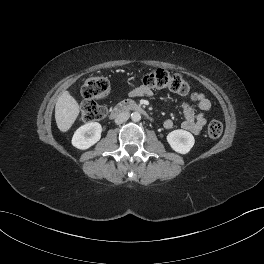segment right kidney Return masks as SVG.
<instances>
[{
    "label": "right kidney",
    "instance_id": "1",
    "mask_svg": "<svg viewBox=\"0 0 264 264\" xmlns=\"http://www.w3.org/2000/svg\"><path fill=\"white\" fill-rule=\"evenodd\" d=\"M101 132L102 126L98 122L87 123L76 130L72 145L81 150L88 149L100 140Z\"/></svg>",
    "mask_w": 264,
    "mask_h": 264
}]
</instances>
